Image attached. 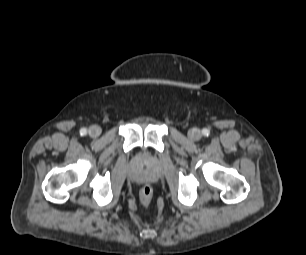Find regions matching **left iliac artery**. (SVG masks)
<instances>
[{
  "label": "left iliac artery",
  "mask_w": 306,
  "mask_h": 255,
  "mask_svg": "<svg viewBox=\"0 0 306 255\" xmlns=\"http://www.w3.org/2000/svg\"><path fill=\"white\" fill-rule=\"evenodd\" d=\"M202 133L204 136H208L210 132L208 129H203Z\"/></svg>",
  "instance_id": "obj_1"
}]
</instances>
